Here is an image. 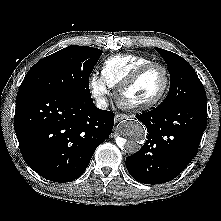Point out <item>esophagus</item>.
Returning <instances> with one entry per match:
<instances>
[{
	"mask_svg": "<svg viewBox=\"0 0 221 221\" xmlns=\"http://www.w3.org/2000/svg\"><path fill=\"white\" fill-rule=\"evenodd\" d=\"M126 115H124V114H116L115 115V117H114V121H115V123H118V122H120L121 120H123V119H126Z\"/></svg>",
	"mask_w": 221,
	"mask_h": 221,
	"instance_id": "1",
	"label": "esophagus"
}]
</instances>
